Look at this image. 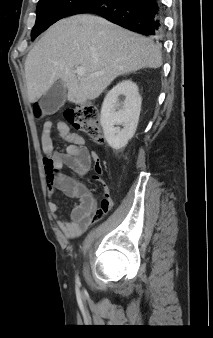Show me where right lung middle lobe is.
<instances>
[{
    "instance_id": "obj_1",
    "label": "right lung middle lobe",
    "mask_w": 213,
    "mask_h": 338,
    "mask_svg": "<svg viewBox=\"0 0 213 338\" xmlns=\"http://www.w3.org/2000/svg\"><path fill=\"white\" fill-rule=\"evenodd\" d=\"M91 1L92 0H39L36 12V23L31 32L32 40L50 25L73 14L77 8Z\"/></svg>"
}]
</instances>
